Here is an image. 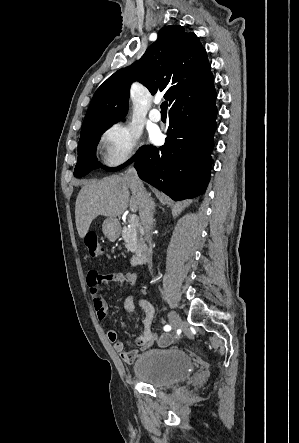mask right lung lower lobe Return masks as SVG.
Listing matches in <instances>:
<instances>
[{
  "label": "right lung lower lobe",
  "instance_id": "98d812e1",
  "mask_svg": "<svg viewBox=\"0 0 299 443\" xmlns=\"http://www.w3.org/2000/svg\"><path fill=\"white\" fill-rule=\"evenodd\" d=\"M215 100L210 73L173 101L165 145L144 146L134 160L143 181L174 200L193 198L205 192L216 130Z\"/></svg>",
  "mask_w": 299,
  "mask_h": 443
}]
</instances>
